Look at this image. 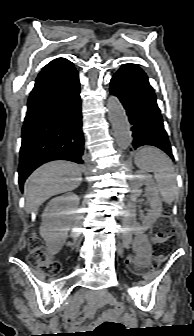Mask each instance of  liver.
Here are the masks:
<instances>
[{
    "label": "liver",
    "mask_w": 194,
    "mask_h": 336,
    "mask_svg": "<svg viewBox=\"0 0 194 336\" xmlns=\"http://www.w3.org/2000/svg\"><path fill=\"white\" fill-rule=\"evenodd\" d=\"M81 167L75 163L58 160L46 163L35 170L24 185L25 210H37L48 198L70 192L81 181Z\"/></svg>",
    "instance_id": "6515ba94"
}]
</instances>
